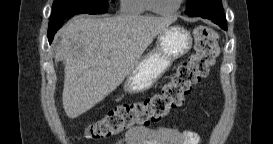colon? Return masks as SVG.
I'll return each mask as SVG.
<instances>
[{
    "mask_svg": "<svg viewBox=\"0 0 273 144\" xmlns=\"http://www.w3.org/2000/svg\"><path fill=\"white\" fill-rule=\"evenodd\" d=\"M194 53L182 61L169 81L154 95L109 110L85 130L89 139L113 137L133 128H147L179 107L192 87L205 78L219 54L217 33L208 26L194 30Z\"/></svg>",
    "mask_w": 273,
    "mask_h": 144,
    "instance_id": "5ec220e1",
    "label": "colon"
}]
</instances>
